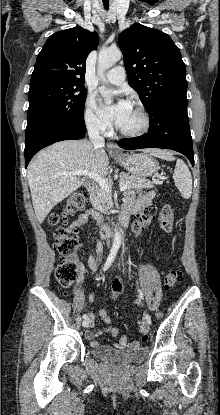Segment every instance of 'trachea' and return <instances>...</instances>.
I'll list each match as a JSON object with an SVG mask.
<instances>
[{
    "label": "trachea",
    "instance_id": "3493384b",
    "mask_svg": "<svg viewBox=\"0 0 220 415\" xmlns=\"http://www.w3.org/2000/svg\"><path fill=\"white\" fill-rule=\"evenodd\" d=\"M105 9L109 8V4H104Z\"/></svg>",
    "mask_w": 220,
    "mask_h": 415
}]
</instances>
